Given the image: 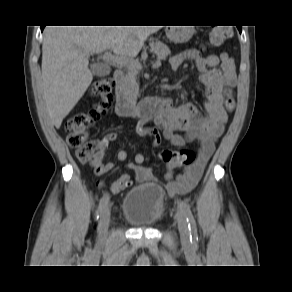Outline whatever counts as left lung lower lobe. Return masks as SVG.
Listing matches in <instances>:
<instances>
[{
  "label": "left lung lower lobe",
  "instance_id": "left-lung-lower-lobe-1",
  "mask_svg": "<svg viewBox=\"0 0 292 292\" xmlns=\"http://www.w3.org/2000/svg\"><path fill=\"white\" fill-rule=\"evenodd\" d=\"M238 30H239V32L241 33V30H242L241 26L238 27Z\"/></svg>",
  "mask_w": 292,
  "mask_h": 292
}]
</instances>
